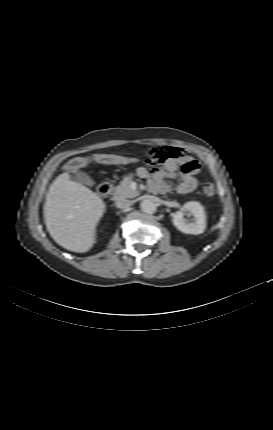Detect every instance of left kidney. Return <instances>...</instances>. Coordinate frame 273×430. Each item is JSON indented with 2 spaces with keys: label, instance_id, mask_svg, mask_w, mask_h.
<instances>
[{
  "label": "left kidney",
  "instance_id": "left-kidney-1",
  "mask_svg": "<svg viewBox=\"0 0 273 430\" xmlns=\"http://www.w3.org/2000/svg\"><path fill=\"white\" fill-rule=\"evenodd\" d=\"M185 215L192 216V218H185ZM172 221L181 232L198 235L203 233L206 228V212L199 202L189 201L185 203L182 210L174 213Z\"/></svg>",
  "mask_w": 273,
  "mask_h": 430
}]
</instances>
